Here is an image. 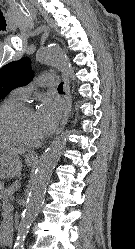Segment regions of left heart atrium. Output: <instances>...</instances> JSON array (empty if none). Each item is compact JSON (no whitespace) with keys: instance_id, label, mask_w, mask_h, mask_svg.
<instances>
[{"instance_id":"obj_1","label":"left heart atrium","mask_w":135,"mask_h":249,"mask_svg":"<svg viewBox=\"0 0 135 249\" xmlns=\"http://www.w3.org/2000/svg\"><path fill=\"white\" fill-rule=\"evenodd\" d=\"M63 111L59 100L45 98L35 112L36 121L42 135L51 132L59 123Z\"/></svg>"}]
</instances>
